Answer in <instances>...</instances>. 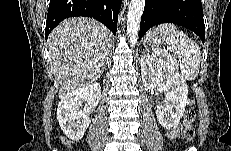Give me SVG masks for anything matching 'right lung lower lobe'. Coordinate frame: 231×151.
I'll list each match as a JSON object with an SVG mask.
<instances>
[{
    "mask_svg": "<svg viewBox=\"0 0 231 151\" xmlns=\"http://www.w3.org/2000/svg\"><path fill=\"white\" fill-rule=\"evenodd\" d=\"M120 7L121 0H50L45 38L62 20L74 16L94 18L115 34Z\"/></svg>",
    "mask_w": 231,
    "mask_h": 151,
    "instance_id": "1",
    "label": "right lung lower lobe"
}]
</instances>
